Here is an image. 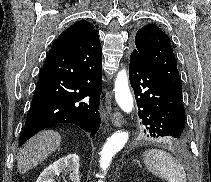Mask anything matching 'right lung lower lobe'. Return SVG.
<instances>
[{
  "label": "right lung lower lobe",
  "instance_id": "obj_1",
  "mask_svg": "<svg viewBox=\"0 0 211 182\" xmlns=\"http://www.w3.org/2000/svg\"><path fill=\"white\" fill-rule=\"evenodd\" d=\"M101 77L102 49L97 32L77 42H54L37 82L19 145L56 123L75 124L94 136L101 123Z\"/></svg>",
  "mask_w": 211,
  "mask_h": 182
}]
</instances>
